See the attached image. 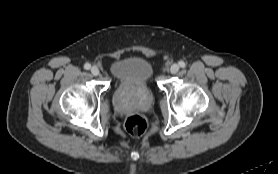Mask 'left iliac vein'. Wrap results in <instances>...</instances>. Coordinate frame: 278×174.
Listing matches in <instances>:
<instances>
[{
	"label": "left iliac vein",
	"mask_w": 278,
	"mask_h": 174,
	"mask_svg": "<svg viewBox=\"0 0 278 174\" xmlns=\"http://www.w3.org/2000/svg\"><path fill=\"white\" fill-rule=\"evenodd\" d=\"M179 71V65L178 64H173L170 68V72L172 74H176Z\"/></svg>",
	"instance_id": "obj_1"
}]
</instances>
